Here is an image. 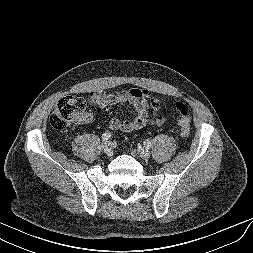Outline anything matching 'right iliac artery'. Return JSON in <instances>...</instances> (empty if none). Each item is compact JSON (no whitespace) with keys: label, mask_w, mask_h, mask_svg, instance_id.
Here are the masks:
<instances>
[{"label":"right iliac artery","mask_w":253,"mask_h":253,"mask_svg":"<svg viewBox=\"0 0 253 253\" xmlns=\"http://www.w3.org/2000/svg\"><path fill=\"white\" fill-rule=\"evenodd\" d=\"M111 133L110 132H105L103 135H102V140L103 141H107L111 138Z\"/></svg>","instance_id":"82829eb1"}]
</instances>
